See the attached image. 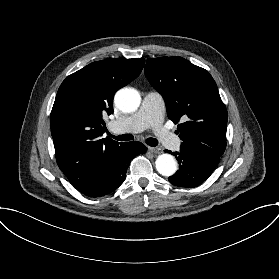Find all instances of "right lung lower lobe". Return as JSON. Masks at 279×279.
<instances>
[{
  "instance_id": "right-lung-lower-lobe-1",
  "label": "right lung lower lobe",
  "mask_w": 279,
  "mask_h": 279,
  "mask_svg": "<svg viewBox=\"0 0 279 279\" xmlns=\"http://www.w3.org/2000/svg\"><path fill=\"white\" fill-rule=\"evenodd\" d=\"M146 150L147 148L140 142L125 143L119 156L104 175L90 188L81 193L88 197L96 198L113 192L124 182L126 170L131 159L139 153H145Z\"/></svg>"
}]
</instances>
